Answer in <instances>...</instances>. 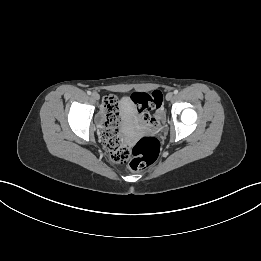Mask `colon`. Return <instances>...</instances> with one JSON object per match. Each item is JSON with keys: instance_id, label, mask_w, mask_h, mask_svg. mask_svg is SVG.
<instances>
[{"instance_id": "5ec220e1", "label": "colon", "mask_w": 261, "mask_h": 261, "mask_svg": "<svg viewBox=\"0 0 261 261\" xmlns=\"http://www.w3.org/2000/svg\"><path fill=\"white\" fill-rule=\"evenodd\" d=\"M132 100L135 103L134 110L139 121L153 129H158L164 113V108L161 106L162 93L159 90L150 93L135 92ZM117 104L114 96L104 98L105 120L102 135L105 149L114 163L128 162L132 170H144L158 158L160 143L154 137H143L133 146L127 145L119 130L120 118Z\"/></svg>"}]
</instances>
